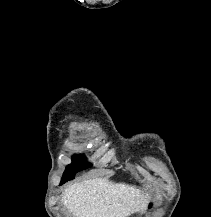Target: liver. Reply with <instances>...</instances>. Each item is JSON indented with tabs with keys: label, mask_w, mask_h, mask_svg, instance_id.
Segmentation results:
<instances>
[{
	"label": "liver",
	"mask_w": 211,
	"mask_h": 217,
	"mask_svg": "<svg viewBox=\"0 0 211 217\" xmlns=\"http://www.w3.org/2000/svg\"><path fill=\"white\" fill-rule=\"evenodd\" d=\"M148 195L134 186L96 178L75 183L62 194L73 217H128L143 212Z\"/></svg>",
	"instance_id": "obj_1"
}]
</instances>
